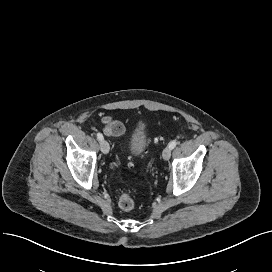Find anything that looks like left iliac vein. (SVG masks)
<instances>
[{"label": "left iliac vein", "mask_w": 272, "mask_h": 272, "mask_svg": "<svg viewBox=\"0 0 272 272\" xmlns=\"http://www.w3.org/2000/svg\"><path fill=\"white\" fill-rule=\"evenodd\" d=\"M171 152H172V149L169 146L165 147L162 153L163 159L166 161L169 160L171 156Z\"/></svg>", "instance_id": "4c4485c4"}]
</instances>
